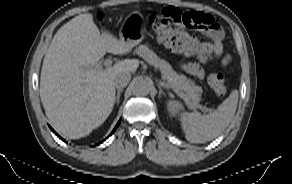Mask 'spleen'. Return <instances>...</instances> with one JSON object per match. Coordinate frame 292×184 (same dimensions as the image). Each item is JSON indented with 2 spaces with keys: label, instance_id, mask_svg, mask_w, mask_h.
<instances>
[{
  "label": "spleen",
  "instance_id": "1",
  "mask_svg": "<svg viewBox=\"0 0 292 184\" xmlns=\"http://www.w3.org/2000/svg\"><path fill=\"white\" fill-rule=\"evenodd\" d=\"M238 97V90L232 91L216 110L208 114L181 112L179 119L185 138L191 143H204L216 138L234 117Z\"/></svg>",
  "mask_w": 292,
  "mask_h": 184
}]
</instances>
